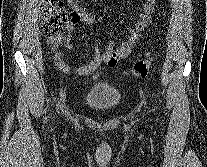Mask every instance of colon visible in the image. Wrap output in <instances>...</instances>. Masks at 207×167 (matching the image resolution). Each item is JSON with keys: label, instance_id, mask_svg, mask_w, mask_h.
I'll return each mask as SVG.
<instances>
[{"label": "colon", "instance_id": "colon-1", "mask_svg": "<svg viewBox=\"0 0 207 167\" xmlns=\"http://www.w3.org/2000/svg\"><path fill=\"white\" fill-rule=\"evenodd\" d=\"M44 25L43 30L52 43L59 42L63 36L62 31L69 25V19L61 0L44 1ZM154 63V55L148 54L144 60L137 62L128 73L132 77H145Z\"/></svg>", "mask_w": 207, "mask_h": 167}]
</instances>
